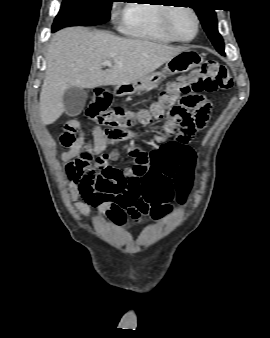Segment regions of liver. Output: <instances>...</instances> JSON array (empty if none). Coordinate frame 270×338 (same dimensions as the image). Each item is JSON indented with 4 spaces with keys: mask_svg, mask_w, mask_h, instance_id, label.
I'll use <instances>...</instances> for the list:
<instances>
[{
    "mask_svg": "<svg viewBox=\"0 0 270 338\" xmlns=\"http://www.w3.org/2000/svg\"><path fill=\"white\" fill-rule=\"evenodd\" d=\"M185 47L124 39L103 31L69 27L55 33L46 55V76L40 93V117L54 123L64 112L63 95L70 87L125 85L161 67ZM113 65L103 70L102 63Z\"/></svg>",
    "mask_w": 270,
    "mask_h": 338,
    "instance_id": "obj_1",
    "label": "liver"
}]
</instances>
